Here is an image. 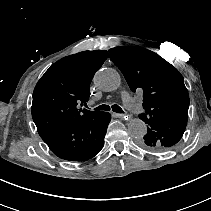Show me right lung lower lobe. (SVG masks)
<instances>
[{
  "instance_id": "98d812e1",
  "label": "right lung lower lobe",
  "mask_w": 211,
  "mask_h": 211,
  "mask_svg": "<svg viewBox=\"0 0 211 211\" xmlns=\"http://www.w3.org/2000/svg\"><path fill=\"white\" fill-rule=\"evenodd\" d=\"M110 120V113L98 112L84 121L58 128L41 138L59 158L87 161L103 148Z\"/></svg>"
}]
</instances>
